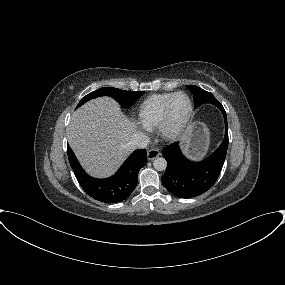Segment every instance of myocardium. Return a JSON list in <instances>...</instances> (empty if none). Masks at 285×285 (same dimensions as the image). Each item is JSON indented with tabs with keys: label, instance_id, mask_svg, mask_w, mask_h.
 <instances>
[{
	"label": "myocardium",
	"instance_id": "myocardium-1",
	"mask_svg": "<svg viewBox=\"0 0 285 285\" xmlns=\"http://www.w3.org/2000/svg\"><path fill=\"white\" fill-rule=\"evenodd\" d=\"M179 95H185L189 101V112L185 120L177 126H174L171 122V107L174 99ZM194 116V104L191 97L183 91L175 92L170 99L167 101L164 112L162 116V120L159 125V132L161 136L167 140H177L180 138L188 129L192 119Z\"/></svg>",
	"mask_w": 285,
	"mask_h": 285
}]
</instances>
